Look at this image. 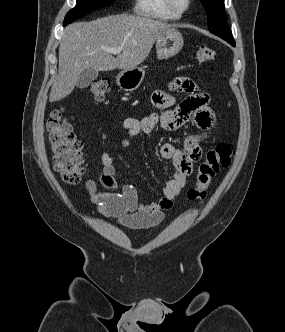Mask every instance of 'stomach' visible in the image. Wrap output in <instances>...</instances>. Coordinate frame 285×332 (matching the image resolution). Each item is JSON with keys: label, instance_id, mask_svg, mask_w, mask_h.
I'll use <instances>...</instances> for the list:
<instances>
[{"label": "stomach", "instance_id": "1", "mask_svg": "<svg viewBox=\"0 0 285 332\" xmlns=\"http://www.w3.org/2000/svg\"><path fill=\"white\" fill-rule=\"evenodd\" d=\"M183 47L182 35L173 29L159 37L156 41V52L159 58H169L176 55ZM145 76L143 67H135L121 71L116 78L117 85L125 91H134L142 83Z\"/></svg>", "mask_w": 285, "mask_h": 332}]
</instances>
